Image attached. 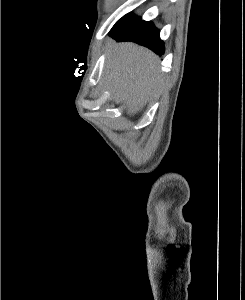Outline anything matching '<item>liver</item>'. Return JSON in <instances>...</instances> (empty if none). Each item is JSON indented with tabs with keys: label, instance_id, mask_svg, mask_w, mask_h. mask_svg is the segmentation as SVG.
I'll list each match as a JSON object with an SVG mask.
<instances>
[{
	"label": "liver",
	"instance_id": "obj_1",
	"mask_svg": "<svg viewBox=\"0 0 245 300\" xmlns=\"http://www.w3.org/2000/svg\"><path fill=\"white\" fill-rule=\"evenodd\" d=\"M105 71L116 103L127 102L130 115L144 107L160 80L159 58L131 42L111 47Z\"/></svg>",
	"mask_w": 245,
	"mask_h": 300
}]
</instances>
